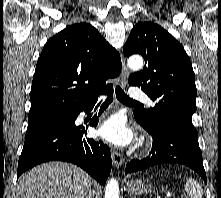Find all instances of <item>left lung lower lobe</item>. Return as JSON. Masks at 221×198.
I'll return each mask as SVG.
<instances>
[{"label":"left lung lower lobe","mask_w":221,"mask_h":198,"mask_svg":"<svg viewBox=\"0 0 221 198\" xmlns=\"http://www.w3.org/2000/svg\"><path fill=\"white\" fill-rule=\"evenodd\" d=\"M137 122L154 138L152 154L142 160L127 163L125 173L147 169L161 163H178L190 167L206 182L198 133L170 126H149L135 117Z\"/></svg>","instance_id":"0a47b994"}]
</instances>
